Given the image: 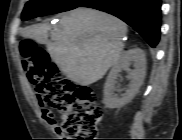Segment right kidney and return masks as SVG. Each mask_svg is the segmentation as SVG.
<instances>
[{"label":"right kidney","mask_w":182,"mask_h":140,"mask_svg":"<svg viewBox=\"0 0 182 140\" xmlns=\"http://www.w3.org/2000/svg\"><path fill=\"white\" fill-rule=\"evenodd\" d=\"M133 64L134 69H130ZM127 71L129 75V87L124 94H115V83L118 74ZM146 75V57L142 49L135 48L124 53L120 60L112 67L104 86L103 103L108 108H120L129 103L138 93Z\"/></svg>","instance_id":"right-kidney-1"}]
</instances>
